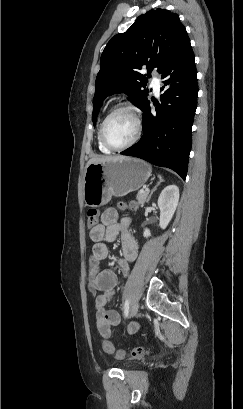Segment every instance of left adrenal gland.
<instances>
[{"label": "left adrenal gland", "mask_w": 243, "mask_h": 409, "mask_svg": "<svg viewBox=\"0 0 243 409\" xmlns=\"http://www.w3.org/2000/svg\"><path fill=\"white\" fill-rule=\"evenodd\" d=\"M162 182H163V179H162V178H159V182H157V184H156V185L154 186V188L151 190V193H150V195H149V197H148V200L151 198L153 192L157 189V187H158Z\"/></svg>", "instance_id": "a2214340"}]
</instances>
